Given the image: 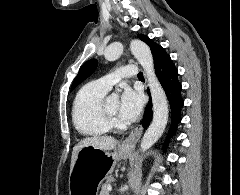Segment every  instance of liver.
<instances>
[{"label":"liver","mask_w":240,"mask_h":195,"mask_svg":"<svg viewBox=\"0 0 240 195\" xmlns=\"http://www.w3.org/2000/svg\"><path fill=\"white\" fill-rule=\"evenodd\" d=\"M117 143V139H115V137H111V135H94V137H84V139H81V141L76 143L73 147L70 171H72L74 167L77 153L81 147H85V145H93V147H98V149H103V151H109V149H114Z\"/></svg>","instance_id":"liver-1"}]
</instances>
